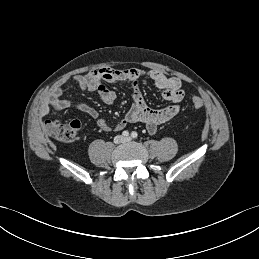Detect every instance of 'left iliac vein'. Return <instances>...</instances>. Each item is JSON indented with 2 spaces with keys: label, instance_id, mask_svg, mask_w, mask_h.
I'll list each match as a JSON object with an SVG mask.
<instances>
[{
  "label": "left iliac vein",
  "instance_id": "4c4485c4",
  "mask_svg": "<svg viewBox=\"0 0 259 259\" xmlns=\"http://www.w3.org/2000/svg\"><path fill=\"white\" fill-rule=\"evenodd\" d=\"M124 141H125V142H129V141H131V138H130V137H126V138L124 139Z\"/></svg>",
  "mask_w": 259,
  "mask_h": 259
}]
</instances>
